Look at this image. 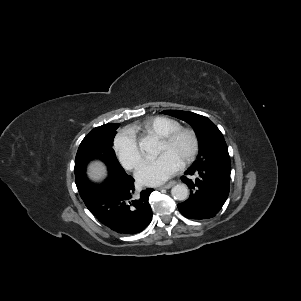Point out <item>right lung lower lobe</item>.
Segmentation results:
<instances>
[{"instance_id":"1","label":"right lung lower lobe","mask_w":301,"mask_h":301,"mask_svg":"<svg viewBox=\"0 0 301 301\" xmlns=\"http://www.w3.org/2000/svg\"><path fill=\"white\" fill-rule=\"evenodd\" d=\"M77 188L88 210L114 232L136 234L152 220L148 199L154 190L147 188L135 196L134 179L125 171L109 170L103 182L86 180Z\"/></svg>"}]
</instances>
